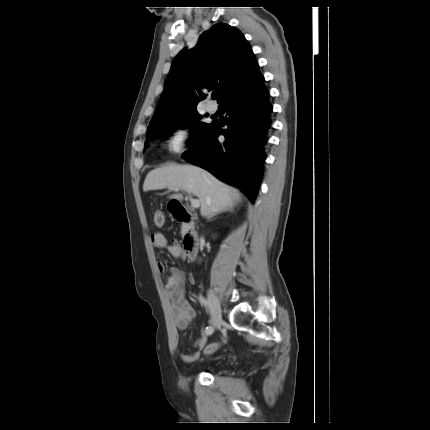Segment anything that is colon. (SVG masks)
<instances>
[{"instance_id":"5ec220e1","label":"colon","mask_w":430,"mask_h":430,"mask_svg":"<svg viewBox=\"0 0 430 430\" xmlns=\"http://www.w3.org/2000/svg\"><path fill=\"white\" fill-rule=\"evenodd\" d=\"M165 221V217H164V213L160 210H157L154 213V223L156 226L160 227L164 224ZM220 346V343L215 342L212 343L210 345L207 346V348L205 349V355H210L212 354L214 351H216V349Z\"/></svg>"}]
</instances>
